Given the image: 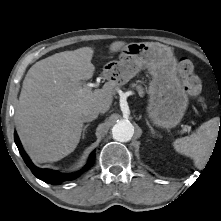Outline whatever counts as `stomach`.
Segmentation results:
<instances>
[{
    "instance_id": "stomach-1",
    "label": "stomach",
    "mask_w": 221,
    "mask_h": 221,
    "mask_svg": "<svg viewBox=\"0 0 221 221\" xmlns=\"http://www.w3.org/2000/svg\"><path fill=\"white\" fill-rule=\"evenodd\" d=\"M142 69H147L152 76L148 87V116L157 126L175 127L187 109L188 95L177 76V60L170 47L157 42L127 44L118 61L104 66V74L112 81L125 84Z\"/></svg>"
}]
</instances>
